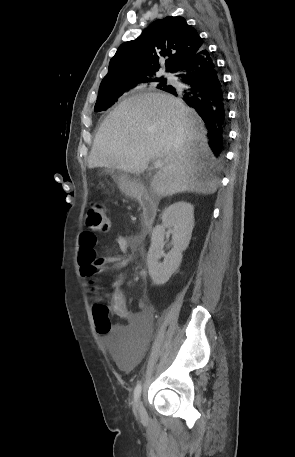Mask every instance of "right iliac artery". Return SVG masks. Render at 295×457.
Returning <instances> with one entry per match:
<instances>
[{
	"instance_id": "obj_1",
	"label": "right iliac artery",
	"mask_w": 295,
	"mask_h": 457,
	"mask_svg": "<svg viewBox=\"0 0 295 457\" xmlns=\"http://www.w3.org/2000/svg\"><path fill=\"white\" fill-rule=\"evenodd\" d=\"M140 395H141V384L139 383V384H137V386L134 390V402H135L136 408L138 407V401H139Z\"/></svg>"
}]
</instances>
